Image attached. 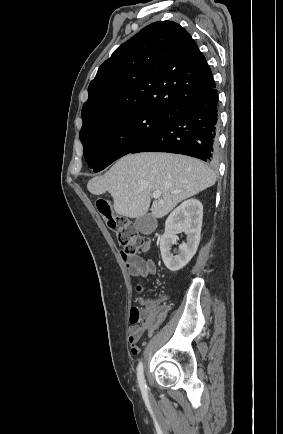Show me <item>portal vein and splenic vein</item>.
<instances>
[{
	"label": "portal vein and splenic vein",
	"instance_id": "18ae733b",
	"mask_svg": "<svg viewBox=\"0 0 283 434\" xmlns=\"http://www.w3.org/2000/svg\"><path fill=\"white\" fill-rule=\"evenodd\" d=\"M152 196H153V198H155V199L160 198V196H161V192H160V191H154L153 194H152Z\"/></svg>",
	"mask_w": 283,
	"mask_h": 434
}]
</instances>
